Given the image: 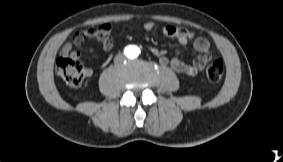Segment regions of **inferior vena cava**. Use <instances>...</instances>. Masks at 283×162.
Returning a JSON list of instances; mask_svg holds the SVG:
<instances>
[{"instance_id": "inferior-vena-cava-1", "label": "inferior vena cava", "mask_w": 283, "mask_h": 162, "mask_svg": "<svg viewBox=\"0 0 283 162\" xmlns=\"http://www.w3.org/2000/svg\"><path fill=\"white\" fill-rule=\"evenodd\" d=\"M125 59H126L125 55L119 53V54H117V55L115 56V58H114V63H115V64H120V63H122Z\"/></svg>"}]
</instances>
